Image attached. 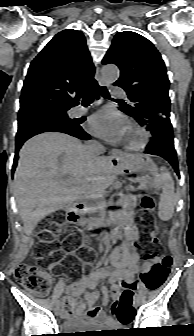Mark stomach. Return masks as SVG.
Segmentation results:
<instances>
[{"label":"stomach","instance_id":"stomach-1","mask_svg":"<svg viewBox=\"0 0 194 336\" xmlns=\"http://www.w3.org/2000/svg\"><path fill=\"white\" fill-rule=\"evenodd\" d=\"M114 164L120 167L122 174H137L139 189L156 192L162 187L163 182L157 167L145 155H124L116 158Z\"/></svg>","mask_w":194,"mask_h":336}]
</instances>
